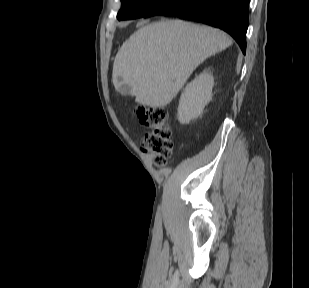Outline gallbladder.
<instances>
[{"instance_id": "obj_1", "label": "gallbladder", "mask_w": 309, "mask_h": 288, "mask_svg": "<svg viewBox=\"0 0 309 288\" xmlns=\"http://www.w3.org/2000/svg\"><path fill=\"white\" fill-rule=\"evenodd\" d=\"M130 91H131V88L128 84H122L119 88V92L122 95H128V94H130Z\"/></svg>"}]
</instances>
